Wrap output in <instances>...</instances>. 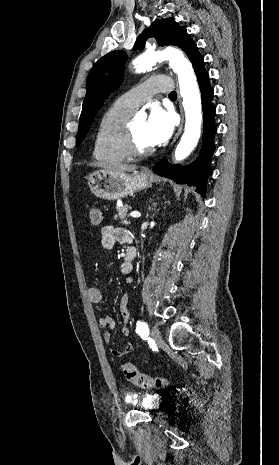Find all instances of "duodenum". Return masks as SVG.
I'll return each instance as SVG.
<instances>
[{
  "mask_svg": "<svg viewBox=\"0 0 279 465\" xmlns=\"http://www.w3.org/2000/svg\"><path fill=\"white\" fill-rule=\"evenodd\" d=\"M136 255V250L133 246L129 245L126 249V254H125V261L126 262H131Z\"/></svg>",
  "mask_w": 279,
  "mask_h": 465,
  "instance_id": "1",
  "label": "duodenum"
}]
</instances>
